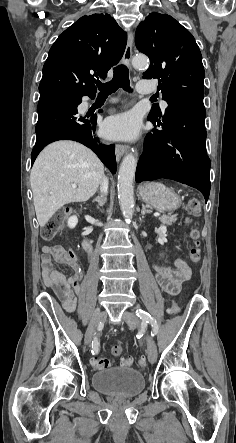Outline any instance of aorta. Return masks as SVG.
<instances>
[{
  "label": "aorta",
  "instance_id": "1",
  "mask_svg": "<svg viewBox=\"0 0 236 443\" xmlns=\"http://www.w3.org/2000/svg\"><path fill=\"white\" fill-rule=\"evenodd\" d=\"M149 60L145 55H136L132 59L135 68H144ZM137 158L128 153L122 160L118 174V198L121 212L126 220L132 219L134 212V179Z\"/></svg>",
  "mask_w": 236,
  "mask_h": 443
}]
</instances>
